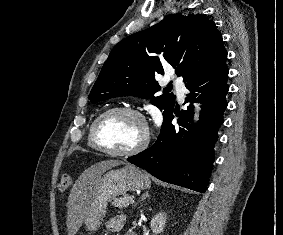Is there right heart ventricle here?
Here are the masks:
<instances>
[{
    "label": "right heart ventricle",
    "mask_w": 283,
    "mask_h": 235,
    "mask_svg": "<svg viewBox=\"0 0 283 235\" xmlns=\"http://www.w3.org/2000/svg\"><path fill=\"white\" fill-rule=\"evenodd\" d=\"M91 126H92V124H91ZM91 126H90L89 133H88V144H89L90 147L93 148L94 146L92 145L91 136H90Z\"/></svg>",
    "instance_id": "1"
}]
</instances>
